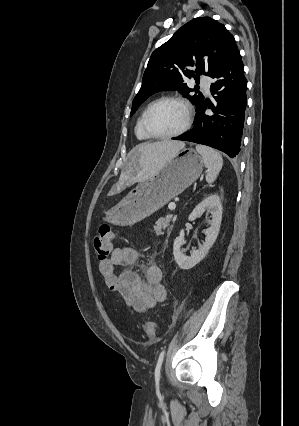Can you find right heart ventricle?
Segmentation results:
<instances>
[{
  "mask_svg": "<svg viewBox=\"0 0 299 426\" xmlns=\"http://www.w3.org/2000/svg\"><path fill=\"white\" fill-rule=\"evenodd\" d=\"M150 104H151V102L146 104L143 107V109H142V111H141V113H140V115L137 119L136 125H135V135L139 140H142V141H146V140L150 139V137L145 133L143 126H142L144 114H145V112H146V110H147V108L149 107Z\"/></svg>",
  "mask_w": 299,
  "mask_h": 426,
  "instance_id": "1",
  "label": "right heart ventricle"
}]
</instances>
